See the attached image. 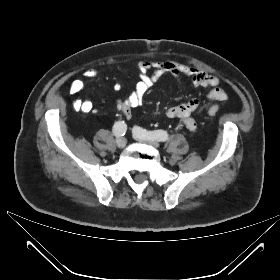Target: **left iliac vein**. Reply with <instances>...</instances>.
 Instances as JSON below:
<instances>
[{
	"instance_id": "4c4485c4",
	"label": "left iliac vein",
	"mask_w": 280,
	"mask_h": 280,
	"mask_svg": "<svg viewBox=\"0 0 280 280\" xmlns=\"http://www.w3.org/2000/svg\"><path fill=\"white\" fill-rule=\"evenodd\" d=\"M134 138L140 142H144V143H147L151 146H153L154 148H158L159 147V142L155 139H149V138H142L140 137L139 135H137L135 132H134Z\"/></svg>"
}]
</instances>
